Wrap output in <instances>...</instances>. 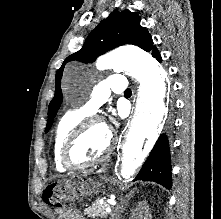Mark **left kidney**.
I'll return each mask as SVG.
<instances>
[{
  "instance_id": "obj_1",
  "label": "left kidney",
  "mask_w": 221,
  "mask_h": 219,
  "mask_svg": "<svg viewBox=\"0 0 221 219\" xmlns=\"http://www.w3.org/2000/svg\"><path fill=\"white\" fill-rule=\"evenodd\" d=\"M148 209L149 207L146 201L140 202L131 216L132 219H149L150 215L148 214Z\"/></svg>"
}]
</instances>
